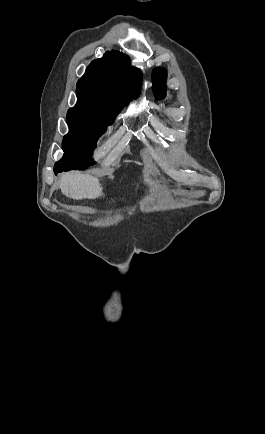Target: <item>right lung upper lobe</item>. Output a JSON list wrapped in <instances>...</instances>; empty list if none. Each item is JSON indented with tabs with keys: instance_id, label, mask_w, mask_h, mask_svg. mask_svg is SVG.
Instances as JSON below:
<instances>
[{
	"instance_id": "1",
	"label": "right lung upper lobe",
	"mask_w": 265,
	"mask_h": 434,
	"mask_svg": "<svg viewBox=\"0 0 265 434\" xmlns=\"http://www.w3.org/2000/svg\"><path fill=\"white\" fill-rule=\"evenodd\" d=\"M141 78L140 71L131 67L127 55L108 51L90 63L77 83V91H93L126 105L131 97L138 95Z\"/></svg>"
}]
</instances>
